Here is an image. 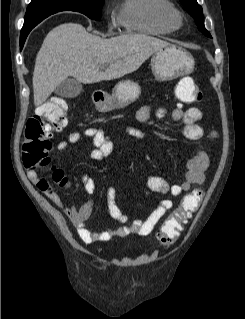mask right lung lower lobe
Masks as SVG:
<instances>
[{
	"label": "right lung lower lobe",
	"mask_w": 245,
	"mask_h": 319,
	"mask_svg": "<svg viewBox=\"0 0 245 319\" xmlns=\"http://www.w3.org/2000/svg\"><path fill=\"white\" fill-rule=\"evenodd\" d=\"M31 31V29L29 30H26V31H21V35H20V46L21 48L23 47L24 45V42L29 34V32Z\"/></svg>",
	"instance_id": "98d812e1"
}]
</instances>
